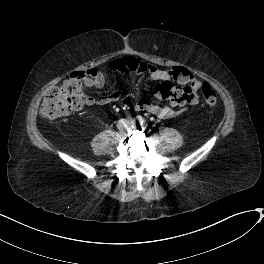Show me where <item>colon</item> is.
Listing matches in <instances>:
<instances>
[{"mask_svg": "<svg viewBox=\"0 0 264 264\" xmlns=\"http://www.w3.org/2000/svg\"><path fill=\"white\" fill-rule=\"evenodd\" d=\"M169 72L172 79L180 84L163 82L156 89L158 97L174 105L192 103L196 98L195 84L187 71L176 66ZM98 74L96 69H90L87 73L81 71L70 74L60 85L47 91L40 105V115L46 120L54 121L81 110L85 104L82 80L85 76ZM201 93L207 105L217 103V93L209 84L201 86Z\"/></svg>", "mask_w": 264, "mask_h": 264, "instance_id": "5ec220e1", "label": "colon"}]
</instances>
